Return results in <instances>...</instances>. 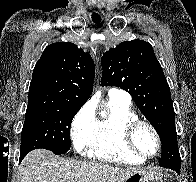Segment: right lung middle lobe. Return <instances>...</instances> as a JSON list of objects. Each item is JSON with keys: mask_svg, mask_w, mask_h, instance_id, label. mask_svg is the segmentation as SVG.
Here are the masks:
<instances>
[{"mask_svg": "<svg viewBox=\"0 0 196 182\" xmlns=\"http://www.w3.org/2000/svg\"><path fill=\"white\" fill-rule=\"evenodd\" d=\"M78 110L58 106L27 109L20 157L37 148H45L56 155L66 153L71 146L70 125Z\"/></svg>", "mask_w": 196, "mask_h": 182, "instance_id": "dd1d6c3e", "label": "right lung middle lobe"}]
</instances>
